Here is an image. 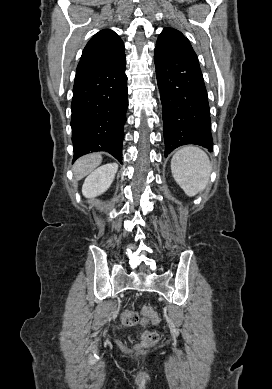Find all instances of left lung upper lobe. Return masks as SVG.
Returning <instances> with one entry per match:
<instances>
[{"mask_svg": "<svg viewBox=\"0 0 272 389\" xmlns=\"http://www.w3.org/2000/svg\"><path fill=\"white\" fill-rule=\"evenodd\" d=\"M156 49L180 58L198 60L189 40L174 28H164L158 37Z\"/></svg>", "mask_w": 272, "mask_h": 389, "instance_id": "5c2ea615", "label": "left lung upper lobe"}]
</instances>
